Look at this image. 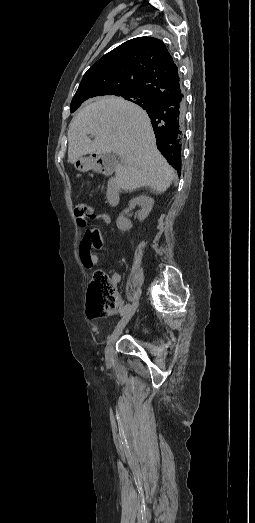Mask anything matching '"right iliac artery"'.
<instances>
[{"mask_svg":"<svg viewBox=\"0 0 255 523\" xmlns=\"http://www.w3.org/2000/svg\"><path fill=\"white\" fill-rule=\"evenodd\" d=\"M130 305L129 304H126L122 310H121V316L125 314V312L129 309Z\"/></svg>","mask_w":255,"mask_h":523,"instance_id":"obj_1","label":"right iliac artery"}]
</instances>
